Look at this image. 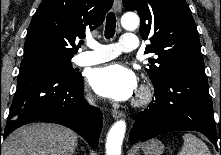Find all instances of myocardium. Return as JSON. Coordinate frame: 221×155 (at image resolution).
Masks as SVG:
<instances>
[{
    "label": "myocardium",
    "mask_w": 221,
    "mask_h": 155,
    "mask_svg": "<svg viewBox=\"0 0 221 155\" xmlns=\"http://www.w3.org/2000/svg\"><path fill=\"white\" fill-rule=\"evenodd\" d=\"M151 89L148 86H142L137 94V98L134 101L136 106H141L149 102L151 99Z\"/></svg>",
    "instance_id": "myocardium-1"
}]
</instances>
